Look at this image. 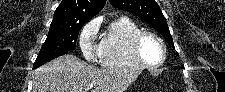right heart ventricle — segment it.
<instances>
[{"label":"right heart ventricle","mask_w":225,"mask_h":92,"mask_svg":"<svg viewBox=\"0 0 225 92\" xmlns=\"http://www.w3.org/2000/svg\"><path fill=\"white\" fill-rule=\"evenodd\" d=\"M140 31V26L129 17L121 16L112 20L100 43L102 65L106 68H139L130 44L133 36Z\"/></svg>","instance_id":"obj_1"}]
</instances>
